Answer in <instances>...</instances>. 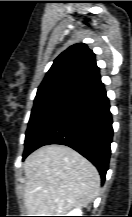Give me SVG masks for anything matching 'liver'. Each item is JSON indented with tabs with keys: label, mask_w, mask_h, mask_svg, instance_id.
<instances>
[{
	"label": "liver",
	"mask_w": 132,
	"mask_h": 217,
	"mask_svg": "<svg viewBox=\"0 0 132 217\" xmlns=\"http://www.w3.org/2000/svg\"><path fill=\"white\" fill-rule=\"evenodd\" d=\"M24 201L30 216H64L87 207L99 194L95 166L70 147L44 146L24 162Z\"/></svg>",
	"instance_id": "1"
}]
</instances>
